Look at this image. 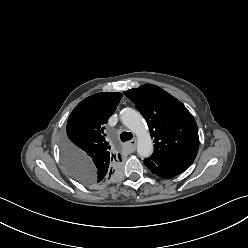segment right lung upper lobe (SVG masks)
Wrapping results in <instances>:
<instances>
[{
  "mask_svg": "<svg viewBox=\"0 0 248 248\" xmlns=\"http://www.w3.org/2000/svg\"><path fill=\"white\" fill-rule=\"evenodd\" d=\"M121 93H97L81 101L67 122L68 145L62 158H71L91 177L98 187L116 179L121 156L111 148L104 133L105 124L114 113Z\"/></svg>",
  "mask_w": 248,
  "mask_h": 248,
  "instance_id": "1",
  "label": "right lung upper lobe"
}]
</instances>
